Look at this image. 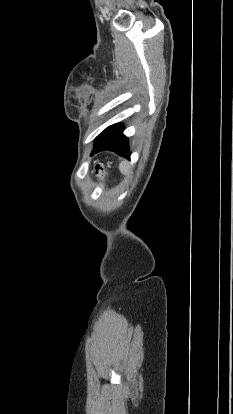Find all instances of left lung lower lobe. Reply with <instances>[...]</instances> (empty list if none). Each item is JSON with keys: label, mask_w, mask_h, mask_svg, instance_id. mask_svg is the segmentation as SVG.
<instances>
[{"label": "left lung lower lobe", "mask_w": 233, "mask_h": 414, "mask_svg": "<svg viewBox=\"0 0 233 414\" xmlns=\"http://www.w3.org/2000/svg\"><path fill=\"white\" fill-rule=\"evenodd\" d=\"M123 130L124 128L119 124L106 128L97 136L92 154L103 150H110L120 156L129 158L128 139L122 134Z\"/></svg>", "instance_id": "0a47b994"}]
</instances>
